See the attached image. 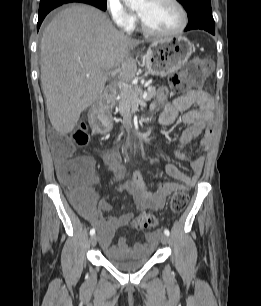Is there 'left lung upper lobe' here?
Wrapping results in <instances>:
<instances>
[{
    "label": "left lung upper lobe",
    "instance_id": "5c2ea615",
    "mask_svg": "<svg viewBox=\"0 0 261 306\" xmlns=\"http://www.w3.org/2000/svg\"><path fill=\"white\" fill-rule=\"evenodd\" d=\"M187 11L189 22L206 21L215 23L210 0H177Z\"/></svg>",
    "mask_w": 261,
    "mask_h": 306
}]
</instances>
